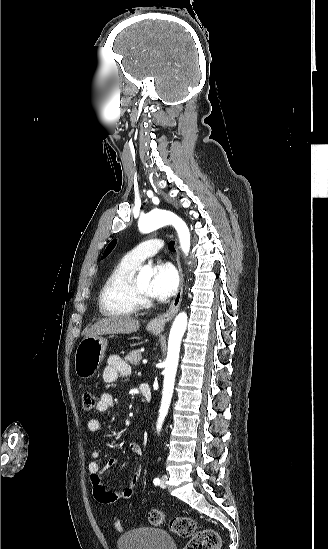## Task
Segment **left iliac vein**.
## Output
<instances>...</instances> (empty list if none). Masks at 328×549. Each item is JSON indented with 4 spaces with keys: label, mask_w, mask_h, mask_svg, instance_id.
Listing matches in <instances>:
<instances>
[{
    "label": "left iliac vein",
    "mask_w": 328,
    "mask_h": 549,
    "mask_svg": "<svg viewBox=\"0 0 328 549\" xmlns=\"http://www.w3.org/2000/svg\"><path fill=\"white\" fill-rule=\"evenodd\" d=\"M166 480H167V476L166 475H163L162 478H161V482H160V486L162 488H165L166 487Z\"/></svg>",
    "instance_id": "1"
}]
</instances>
